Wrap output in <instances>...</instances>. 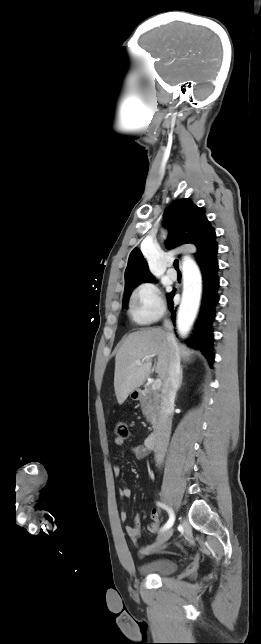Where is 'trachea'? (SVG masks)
Wrapping results in <instances>:
<instances>
[{"label": "trachea", "mask_w": 261, "mask_h": 644, "mask_svg": "<svg viewBox=\"0 0 261 644\" xmlns=\"http://www.w3.org/2000/svg\"><path fill=\"white\" fill-rule=\"evenodd\" d=\"M174 267H175L176 269H179V262H178V260H177V259L174 261Z\"/></svg>", "instance_id": "1"}]
</instances>
